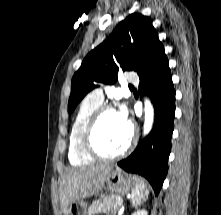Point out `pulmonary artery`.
I'll return each mask as SVG.
<instances>
[{
    "instance_id": "e3ab8cb5",
    "label": "pulmonary artery",
    "mask_w": 221,
    "mask_h": 215,
    "mask_svg": "<svg viewBox=\"0 0 221 215\" xmlns=\"http://www.w3.org/2000/svg\"><path fill=\"white\" fill-rule=\"evenodd\" d=\"M127 81L132 84H137L139 82V78L136 74L131 73L128 75ZM90 96L100 102H103L104 100V95L101 89H95L90 93Z\"/></svg>"
}]
</instances>
